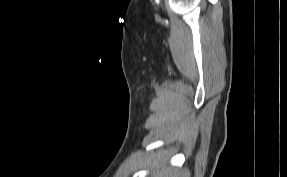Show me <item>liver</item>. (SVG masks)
Wrapping results in <instances>:
<instances>
[{
  "instance_id": "obj_1",
  "label": "liver",
  "mask_w": 287,
  "mask_h": 177,
  "mask_svg": "<svg viewBox=\"0 0 287 177\" xmlns=\"http://www.w3.org/2000/svg\"><path fill=\"white\" fill-rule=\"evenodd\" d=\"M166 160L167 157H162L158 163H154L155 170L151 177H185L179 174L176 169L167 167L165 165Z\"/></svg>"
}]
</instances>
